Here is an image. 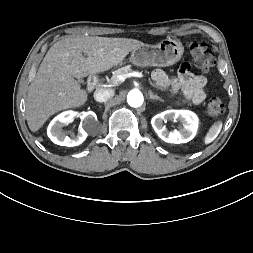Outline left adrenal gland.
Masks as SVG:
<instances>
[{
	"label": "left adrenal gland",
	"mask_w": 253,
	"mask_h": 253,
	"mask_svg": "<svg viewBox=\"0 0 253 253\" xmlns=\"http://www.w3.org/2000/svg\"><path fill=\"white\" fill-rule=\"evenodd\" d=\"M149 96H150V99L151 100H158V101H161V102H164L163 99H161L160 97H158L156 94H154L152 91H149Z\"/></svg>",
	"instance_id": "obj_1"
}]
</instances>
